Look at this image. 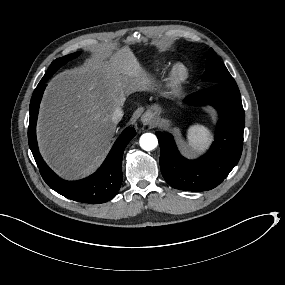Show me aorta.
I'll use <instances>...</instances> for the list:
<instances>
[{
	"mask_svg": "<svg viewBox=\"0 0 285 285\" xmlns=\"http://www.w3.org/2000/svg\"><path fill=\"white\" fill-rule=\"evenodd\" d=\"M158 145L157 137L152 133H145L140 137V146L143 150L151 151Z\"/></svg>",
	"mask_w": 285,
	"mask_h": 285,
	"instance_id": "aorta-1",
	"label": "aorta"
}]
</instances>
